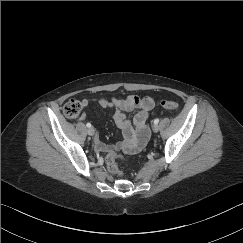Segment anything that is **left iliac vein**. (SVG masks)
Masks as SVG:
<instances>
[{"instance_id": "4c4485c4", "label": "left iliac vein", "mask_w": 243, "mask_h": 243, "mask_svg": "<svg viewBox=\"0 0 243 243\" xmlns=\"http://www.w3.org/2000/svg\"><path fill=\"white\" fill-rule=\"evenodd\" d=\"M158 130H159L158 125H155V124H154V126H153V131H154V132H158Z\"/></svg>"}]
</instances>
